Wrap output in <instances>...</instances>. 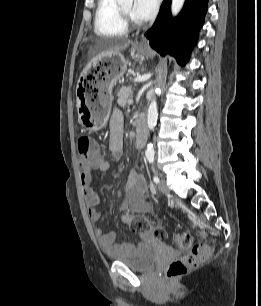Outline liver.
Returning <instances> with one entry per match:
<instances>
[{"label":"liver","instance_id":"6515ba94","mask_svg":"<svg viewBox=\"0 0 261 306\" xmlns=\"http://www.w3.org/2000/svg\"><path fill=\"white\" fill-rule=\"evenodd\" d=\"M130 44L133 45V42L130 40L112 41L101 48L100 56L123 51L128 48Z\"/></svg>","mask_w":261,"mask_h":306}]
</instances>
